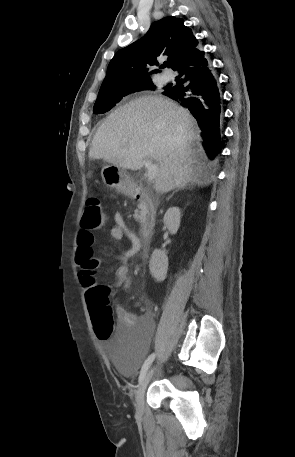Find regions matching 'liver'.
Wrapping results in <instances>:
<instances>
[{
	"label": "liver",
	"instance_id": "1",
	"mask_svg": "<svg viewBox=\"0 0 295 457\" xmlns=\"http://www.w3.org/2000/svg\"><path fill=\"white\" fill-rule=\"evenodd\" d=\"M200 141V129L188 110L167 98L143 96L105 119L89 157L133 171L141 169L144 160L156 161L155 189L166 193L187 184L211 183Z\"/></svg>",
	"mask_w": 295,
	"mask_h": 457
}]
</instances>
